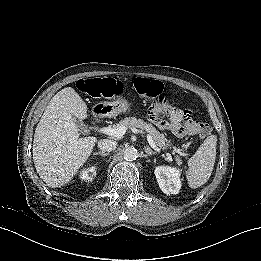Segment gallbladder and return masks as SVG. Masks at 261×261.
<instances>
[{"instance_id":"obj_1","label":"gallbladder","mask_w":261,"mask_h":261,"mask_svg":"<svg viewBox=\"0 0 261 261\" xmlns=\"http://www.w3.org/2000/svg\"><path fill=\"white\" fill-rule=\"evenodd\" d=\"M77 125H78L79 127H81V128H84V125H83L81 122H79V121H77Z\"/></svg>"}]
</instances>
